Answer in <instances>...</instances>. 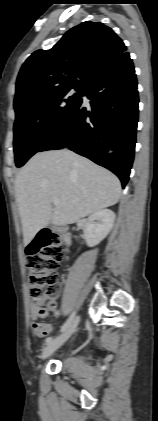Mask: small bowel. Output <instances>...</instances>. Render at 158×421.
Returning <instances> with one entry per match:
<instances>
[{
  "label": "small bowel",
  "mask_w": 158,
  "mask_h": 421,
  "mask_svg": "<svg viewBox=\"0 0 158 421\" xmlns=\"http://www.w3.org/2000/svg\"><path fill=\"white\" fill-rule=\"evenodd\" d=\"M45 317H47V313L41 314L39 312L38 305L32 304L31 306L32 327H33L34 334L38 338H44L52 330V327L50 324L40 321V319L45 318Z\"/></svg>",
  "instance_id": "obj_1"
}]
</instances>
